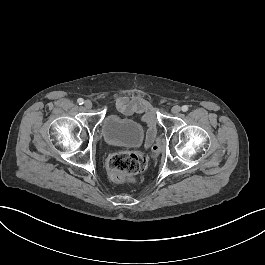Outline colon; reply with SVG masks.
I'll use <instances>...</instances> for the list:
<instances>
[{"label":"colon","mask_w":265,"mask_h":265,"mask_svg":"<svg viewBox=\"0 0 265 265\" xmlns=\"http://www.w3.org/2000/svg\"><path fill=\"white\" fill-rule=\"evenodd\" d=\"M154 152H159L160 147L156 145ZM148 156L137 151H122L111 155L107 160V172L113 181L128 184L135 175L145 171Z\"/></svg>","instance_id":"5ec220e1"}]
</instances>
